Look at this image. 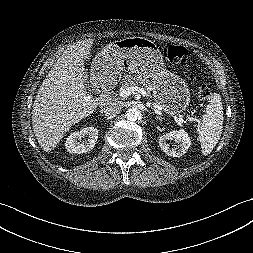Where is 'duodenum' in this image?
<instances>
[{
  "instance_id": "duodenum-1",
  "label": "duodenum",
  "mask_w": 253,
  "mask_h": 253,
  "mask_svg": "<svg viewBox=\"0 0 253 253\" xmlns=\"http://www.w3.org/2000/svg\"><path fill=\"white\" fill-rule=\"evenodd\" d=\"M110 99H111V96H110V94H109L108 92H106V93H104V94L102 95V100H103L104 102L109 101Z\"/></svg>"
}]
</instances>
